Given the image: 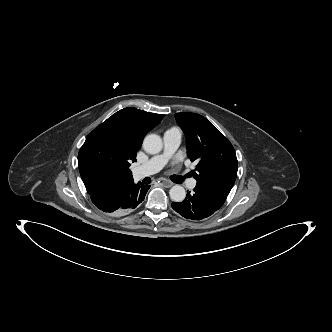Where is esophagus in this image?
I'll list each match as a JSON object with an SVG mask.
<instances>
[{
	"label": "esophagus",
	"instance_id": "esophagus-1",
	"mask_svg": "<svg viewBox=\"0 0 332 332\" xmlns=\"http://www.w3.org/2000/svg\"><path fill=\"white\" fill-rule=\"evenodd\" d=\"M160 184H162L165 187H171L173 185V183L165 178H161L158 181Z\"/></svg>",
	"mask_w": 332,
	"mask_h": 332
}]
</instances>
